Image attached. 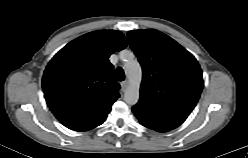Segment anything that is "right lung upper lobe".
<instances>
[{"label": "right lung upper lobe", "mask_w": 248, "mask_h": 158, "mask_svg": "<svg viewBox=\"0 0 248 158\" xmlns=\"http://www.w3.org/2000/svg\"><path fill=\"white\" fill-rule=\"evenodd\" d=\"M126 46L120 31H94L71 41L51 59L42 88L47 105L64 126L87 131L106 120L120 96L108 58Z\"/></svg>", "instance_id": "obj_1"}]
</instances>
